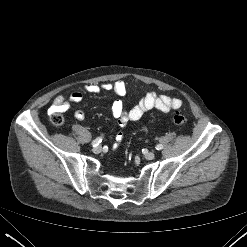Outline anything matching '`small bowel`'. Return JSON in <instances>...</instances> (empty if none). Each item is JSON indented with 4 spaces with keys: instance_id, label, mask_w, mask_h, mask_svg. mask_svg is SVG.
<instances>
[{
    "instance_id": "c3829d8e",
    "label": "small bowel",
    "mask_w": 247,
    "mask_h": 247,
    "mask_svg": "<svg viewBox=\"0 0 247 247\" xmlns=\"http://www.w3.org/2000/svg\"><path fill=\"white\" fill-rule=\"evenodd\" d=\"M102 89L112 90L117 96L123 97L126 94L127 88L126 84L121 81H115L113 83H106L103 85L98 84H88L85 86V90L88 93L96 94ZM83 95L80 92H74L66 99L63 95H58L55 97L52 106L50 107V112L54 113L56 111L64 112L67 111L72 104H77L81 102ZM182 106V101L179 98H172L165 95H158L155 92H148L134 107L129 110L124 109L123 102L118 99L111 106V114L114 118L118 120L120 126H125L131 121L139 120L146 112L156 109L162 113H169L172 110L180 109ZM74 117L77 120L84 119L83 111H76ZM122 133H118L115 137L114 149L118 147V136Z\"/></svg>"
}]
</instances>
